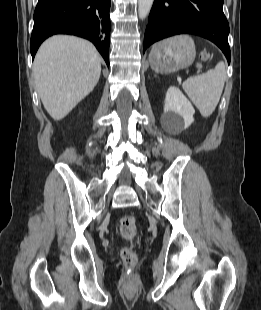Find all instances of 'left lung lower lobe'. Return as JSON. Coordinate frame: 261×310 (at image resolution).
Segmentation results:
<instances>
[{"mask_svg":"<svg viewBox=\"0 0 261 310\" xmlns=\"http://www.w3.org/2000/svg\"><path fill=\"white\" fill-rule=\"evenodd\" d=\"M183 33L214 42L230 63L229 24L223 13V0H154L144 50L156 41Z\"/></svg>","mask_w":261,"mask_h":310,"instance_id":"0a47b994","label":"left lung lower lobe"}]
</instances>
